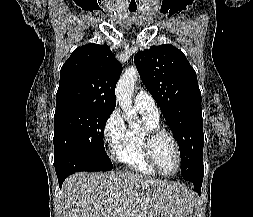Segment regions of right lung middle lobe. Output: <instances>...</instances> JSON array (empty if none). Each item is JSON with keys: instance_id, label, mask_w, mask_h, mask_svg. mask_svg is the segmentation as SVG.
<instances>
[{"instance_id": "obj_1", "label": "right lung middle lobe", "mask_w": 253, "mask_h": 217, "mask_svg": "<svg viewBox=\"0 0 253 217\" xmlns=\"http://www.w3.org/2000/svg\"><path fill=\"white\" fill-rule=\"evenodd\" d=\"M112 111L78 104L56 106L54 159L77 154L90 162L92 171L112 170L103 142L104 127Z\"/></svg>"}]
</instances>
